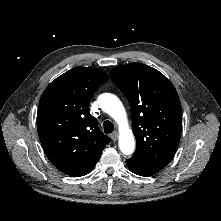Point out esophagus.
<instances>
[{
  "label": "esophagus",
  "instance_id": "esophagus-1",
  "mask_svg": "<svg viewBox=\"0 0 221 221\" xmlns=\"http://www.w3.org/2000/svg\"><path fill=\"white\" fill-rule=\"evenodd\" d=\"M111 139L115 142L118 139V133L117 132L112 133Z\"/></svg>",
  "mask_w": 221,
  "mask_h": 221
}]
</instances>
